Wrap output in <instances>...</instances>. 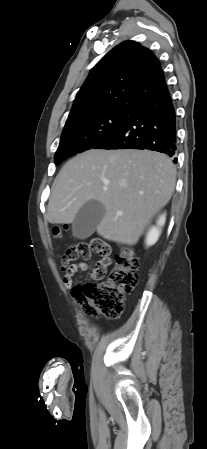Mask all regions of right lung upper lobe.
I'll return each instance as SVG.
<instances>
[{
  "label": "right lung upper lobe",
  "instance_id": "right-lung-upper-lobe-1",
  "mask_svg": "<svg viewBox=\"0 0 207 449\" xmlns=\"http://www.w3.org/2000/svg\"><path fill=\"white\" fill-rule=\"evenodd\" d=\"M168 92L155 55L137 42L126 41L92 68L68 119L108 109L136 110Z\"/></svg>",
  "mask_w": 207,
  "mask_h": 449
}]
</instances>
